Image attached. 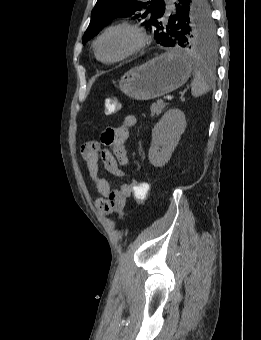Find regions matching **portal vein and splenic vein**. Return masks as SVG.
Returning <instances> with one entry per match:
<instances>
[{
	"instance_id": "portal-vein-and-splenic-vein-1",
	"label": "portal vein and splenic vein",
	"mask_w": 261,
	"mask_h": 340,
	"mask_svg": "<svg viewBox=\"0 0 261 340\" xmlns=\"http://www.w3.org/2000/svg\"><path fill=\"white\" fill-rule=\"evenodd\" d=\"M164 99H165V100H171L172 97H171V96H165Z\"/></svg>"
}]
</instances>
